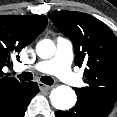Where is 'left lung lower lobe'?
Instances as JSON below:
<instances>
[{
    "instance_id": "1",
    "label": "left lung lower lobe",
    "mask_w": 117,
    "mask_h": 117,
    "mask_svg": "<svg viewBox=\"0 0 117 117\" xmlns=\"http://www.w3.org/2000/svg\"><path fill=\"white\" fill-rule=\"evenodd\" d=\"M113 104L77 97V103L70 111H57L56 117H107Z\"/></svg>"
}]
</instances>
